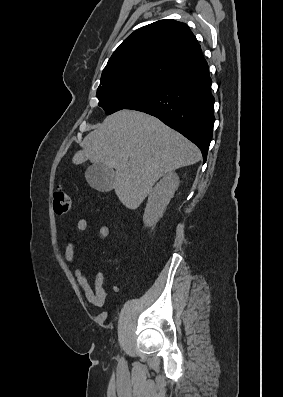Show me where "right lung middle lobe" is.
<instances>
[{"instance_id": "1", "label": "right lung middle lobe", "mask_w": 283, "mask_h": 397, "mask_svg": "<svg viewBox=\"0 0 283 397\" xmlns=\"http://www.w3.org/2000/svg\"><path fill=\"white\" fill-rule=\"evenodd\" d=\"M168 81L146 74L118 75L101 79L97 90L99 106L112 114L142 99Z\"/></svg>"}]
</instances>
